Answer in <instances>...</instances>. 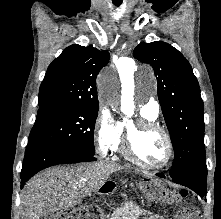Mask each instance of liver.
Returning <instances> with one entry per match:
<instances>
[{
  "mask_svg": "<svg viewBox=\"0 0 221 219\" xmlns=\"http://www.w3.org/2000/svg\"><path fill=\"white\" fill-rule=\"evenodd\" d=\"M121 169L118 164L100 161L40 172L27 182L21 193L22 219H42L48 212L74 208Z\"/></svg>",
  "mask_w": 221,
  "mask_h": 219,
  "instance_id": "6515ba94",
  "label": "liver"
}]
</instances>
